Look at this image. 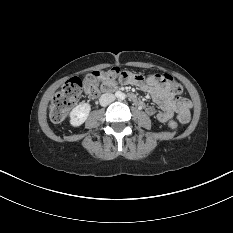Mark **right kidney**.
I'll list each match as a JSON object with an SVG mask.
<instances>
[{"instance_id":"right-kidney-1","label":"right kidney","mask_w":233,"mask_h":233,"mask_svg":"<svg viewBox=\"0 0 233 233\" xmlns=\"http://www.w3.org/2000/svg\"><path fill=\"white\" fill-rule=\"evenodd\" d=\"M91 106L88 103H80L70 112V124L74 127L82 125L88 118Z\"/></svg>"}]
</instances>
